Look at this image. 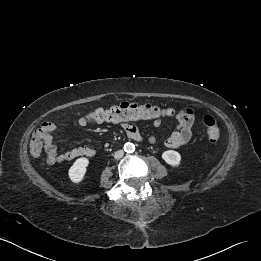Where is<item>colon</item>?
I'll return each mask as SVG.
<instances>
[{
	"label": "colon",
	"instance_id": "1",
	"mask_svg": "<svg viewBox=\"0 0 261 261\" xmlns=\"http://www.w3.org/2000/svg\"><path fill=\"white\" fill-rule=\"evenodd\" d=\"M178 113L179 112L175 108H162L156 104L149 103L136 105L124 103L108 109H96L89 113L88 119L105 122L137 121L142 119L148 120L161 117H171ZM203 123L209 141L212 143L217 142L221 136V131L215 118L206 115L203 118ZM46 134L47 129L42 126L32 135L29 150L33 156L39 157L42 155L46 141Z\"/></svg>",
	"mask_w": 261,
	"mask_h": 261
}]
</instances>
